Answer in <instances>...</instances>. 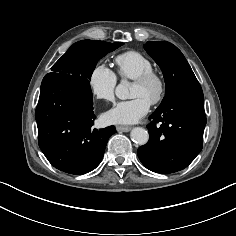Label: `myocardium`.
<instances>
[{
    "label": "myocardium",
    "instance_id": "obj_1",
    "mask_svg": "<svg viewBox=\"0 0 236 236\" xmlns=\"http://www.w3.org/2000/svg\"><path fill=\"white\" fill-rule=\"evenodd\" d=\"M134 82L140 85H149L151 83L156 84L157 91L153 99L150 101L151 105L159 104L163 100L166 94L167 84H166L165 77L163 76L162 73L154 69L146 71L142 73L141 75L137 76L134 79Z\"/></svg>",
    "mask_w": 236,
    "mask_h": 236
}]
</instances>
